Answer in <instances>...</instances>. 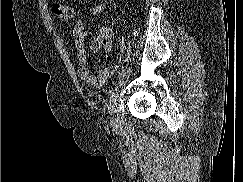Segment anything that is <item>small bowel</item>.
<instances>
[{"instance_id":"small-bowel-1","label":"small bowel","mask_w":243,"mask_h":182,"mask_svg":"<svg viewBox=\"0 0 243 182\" xmlns=\"http://www.w3.org/2000/svg\"><path fill=\"white\" fill-rule=\"evenodd\" d=\"M93 14H100L104 11V5L98 4L92 8ZM73 41L77 54L78 77L89 85L102 87L110 77L111 71L109 67H104L97 73H93L88 66V53L85 47V38L87 32L85 30V24L82 20H77L73 28ZM104 47L108 52L113 48L112 38L108 35L94 37L92 42V48L99 50Z\"/></svg>"}]
</instances>
